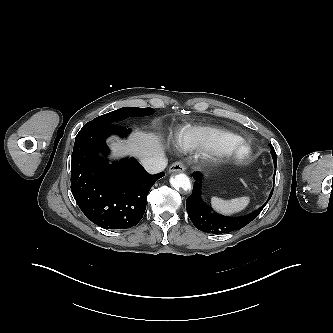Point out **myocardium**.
<instances>
[{
    "label": "myocardium",
    "mask_w": 333,
    "mask_h": 333,
    "mask_svg": "<svg viewBox=\"0 0 333 333\" xmlns=\"http://www.w3.org/2000/svg\"><path fill=\"white\" fill-rule=\"evenodd\" d=\"M213 151L233 161H243L247 159L251 153L248 144L241 139L220 143Z\"/></svg>",
    "instance_id": "1"
}]
</instances>
